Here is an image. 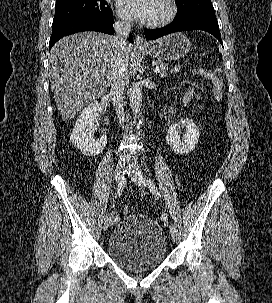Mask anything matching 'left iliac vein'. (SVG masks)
I'll return each instance as SVG.
<instances>
[{"label": "left iliac vein", "instance_id": "obj_1", "mask_svg": "<svg viewBox=\"0 0 272 303\" xmlns=\"http://www.w3.org/2000/svg\"><path fill=\"white\" fill-rule=\"evenodd\" d=\"M130 178L134 183H136L140 187H146L147 186V180L144 176V174L139 170L138 168H134L130 173H129ZM170 234L172 239L176 238V230L170 229Z\"/></svg>", "mask_w": 272, "mask_h": 303}]
</instances>
